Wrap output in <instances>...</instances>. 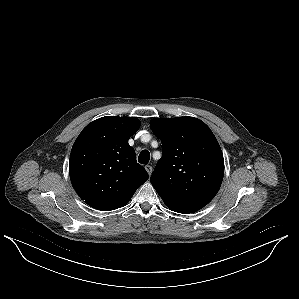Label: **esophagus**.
I'll return each mask as SVG.
<instances>
[{
	"mask_svg": "<svg viewBox=\"0 0 299 299\" xmlns=\"http://www.w3.org/2000/svg\"><path fill=\"white\" fill-rule=\"evenodd\" d=\"M145 169H146L148 175L151 176V174H152V172H153V168H152V166H151V165H146V166H145Z\"/></svg>",
	"mask_w": 299,
	"mask_h": 299,
	"instance_id": "obj_1",
	"label": "esophagus"
}]
</instances>
